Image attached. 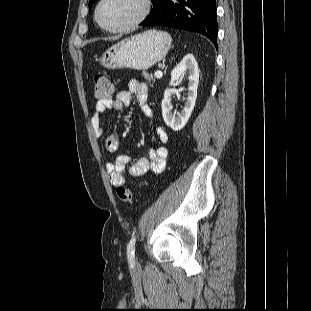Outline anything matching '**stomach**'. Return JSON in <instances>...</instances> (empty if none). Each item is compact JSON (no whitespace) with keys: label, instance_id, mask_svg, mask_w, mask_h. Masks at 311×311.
I'll list each match as a JSON object with an SVG mask.
<instances>
[{"label":"stomach","instance_id":"0dacf381","mask_svg":"<svg viewBox=\"0 0 311 311\" xmlns=\"http://www.w3.org/2000/svg\"><path fill=\"white\" fill-rule=\"evenodd\" d=\"M171 43L168 33L148 30L114 44L103 53L99 62L107 69L147 70L165 58Z\"/></svg>","mask_w":311,"mask_h":311}]
</instances>
